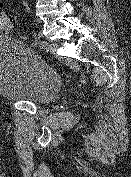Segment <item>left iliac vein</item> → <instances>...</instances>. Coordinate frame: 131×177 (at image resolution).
<instances>
[{"label":"left iliac vein","instance_id":"1","mask_svg":"<svg viewBox=\"0 0 131 177\" xmlns=\"http://www.w3.org/2000/svg\"><path fill=\"white\" fill-rule=\"evenodd\" d=\"M59 45L55 42H50L47 46V51L50 52L51 54L55 55L57 52Z\"/></svg>","mask_w":131,"mask_h":177}]
</instances>
